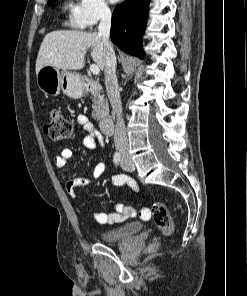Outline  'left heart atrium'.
Listing matches in <instances>:
<instances>
[{
  "label": "left heart atrium",
  "instance_id": "left-heart-atrium-1",
  "mask_svg": "<svg viewBox=\"0 0 247 296\" xmlns=\"http://www.w3.org/2000/svg\"><path fill=\"white\" fill-rule=\"evenodd\" d=\"M111 1L115 2V1H118V0H111Z\"/></svg>",
  "mask_w": 247,
  "mask_h": 296
}]
</instances>
